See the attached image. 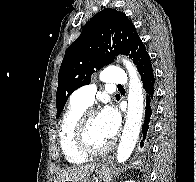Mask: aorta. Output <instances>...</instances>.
I'll use <instances>...</instances> for the list:
<instances>
[{"instance_id":"1","label":"aorta","mask_w":196,"mask_h":182,"mask_svg":"<svg viewBox=\"0 0 196 182\" xmlns=\"http://www.w3.org/2000/svg\"><path fill=\"white\" fill-rule=\"evenodd\" d=\"M129 73L128 110L124 130L117 149L118 163H124L132 154L142 124L143 116V87L139 74L127 59H122Z\"/></svg>"}]
</instances>
